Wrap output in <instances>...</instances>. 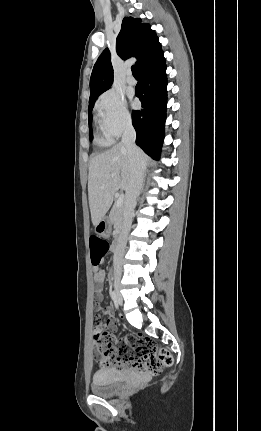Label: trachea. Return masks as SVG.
Listing matches in <instances>:
<instances>
[{"mask_svg":"<svg viewBox=\"0 0 261 431\" xmlns=\"http://www.w3.org/2000/svg\"><path fill=\"white\" fill-rule=\"evenodd\" d=\"M131 70H132V74H133V76H139L138 68H137V66H136V65H133V66L131 67Z\"/></svg>","mask_w":261,"mask_h":431,"instance_id":"obj_1","label":"trachea"}]
</instances>
